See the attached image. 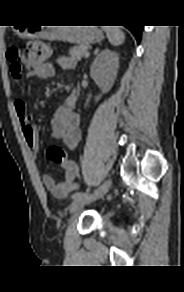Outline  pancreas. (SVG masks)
Returning a JSON list of instances; mask_svg holds the SVG:
<instances>
[{
  "label": "pancreas",
  "mask_w": 184,
  "mask_h": 292,
  "mask_svg": "<svg viewBox=\"0 0 184 292\" xmlns=\"http://www.w3.org/2000/svg\"><path fill=\"white\" fill-rule=\"evenodd\" d=\"M89 50V45H77L70 49L69 54L70 56L78 61L81 57L86 56Z\"/></svg>",
  "instance_id": "1"
}]
</instances>
